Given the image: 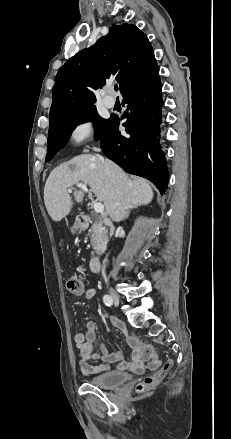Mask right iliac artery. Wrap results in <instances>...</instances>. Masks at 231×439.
Returning a JSON list of instances; mask_svg holds the SVG:
<instances>
[{
  "label": "right iliac artery",
  "instance_id": "obj_1",
  "mask_svg": "<svg viewBox=\"0 0 231 439\" xmlns=\"http://www.w3.org/2000/svg\"><path fill=\"white\" fill-rule=\"evenodd\" d=\"M103 302L105 303L106 306H111L113 303V301L109 295L103 296Z\"/></svg>",
  "mask_w": 231,
  "mask_h": 439
}]
</instances>
